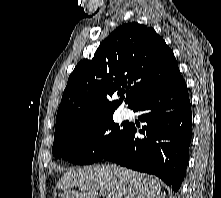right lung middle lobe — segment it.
I'll return each mask as SVG.
<instances>
[{
  "label": "right lung middle lobe",
  "instance_id": "right-lung-middle-lobe-1",
  "mask_svg": "<svg viewBox=\"0 0 221 198\" xmlns=\"http://www.w3.org/2000/svg\"><path fill=\"white\" fill-rule=\"evenodd\" d=\"M129 124L120 129L113 121V115L105 116L76 131L54 138L52 152L78 165H88L100 161L122 140Z\"/></svg>",
  "mask_w": 221,
  "mask_h": 198
}]
</instances>
